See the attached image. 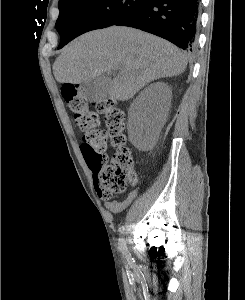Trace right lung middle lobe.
I'll return each mask as SVG.
<instances>
[{
	"mask_svg": "<svg viewBox=\"0 0 245 300\" xmlns=\"http://www.w3.org/2000/svg\"><path fill=\"white\" fill-rule=\"evenodd\" d=\"M149 0H60L56 29L62 48L75 37L114 25Z\"/></svg>",
	"mask_w": 245,
	"mask_h": 300,
	"instance_id": "dd1d6c3e",
	"label": "right lung middle lobe"
}]
</instances>
